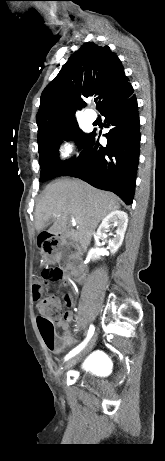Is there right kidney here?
Segmentation results:
<instances>
[{"mask_svg":"<svg viewBox=\"0 0 165 461\" xmlns=\"http://www.w3.org/2000/svg\"><path fill=\"white\" fill-rule=\"evenodd\" d=\"M127 223V213L120 210L112 211L102 220V223L97 230L96 238L101 239L105 237V232L109 231L108 229L110 225L116 226L117 229L115 231L116 234L114 235V238L108 241L110 252L114 254L122 245L124 234L127 228ZM107 254L108 252L104 248H95L90 251V256L92 260L100 259L101 255L103 256Z\"/></svg>","mask_w":165,"mask_h":461,"instance_id":"obj_1","label":"right kidney"}]
</instances>
